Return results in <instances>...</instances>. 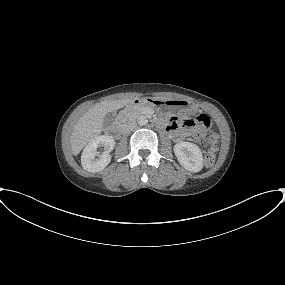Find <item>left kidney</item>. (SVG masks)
Instances as JSON below:
<instances>
[{
    "instance_id": "1",
    "label": "left kidney",
    "mask_w": 285,
    "mask_h": 285,
    "mask_svg": "<svg viewBox=\"0 0 285 285\" xmlns=\"http://www.w3.org/2000/svg\"><path fill=\"white\" fill-rule=\"evenodd\" d=\"M174 153L179 163L191 172H199L203 168V155L200 148L190 142H179L174 145Z\"/></svg>"
}]
</instances>
